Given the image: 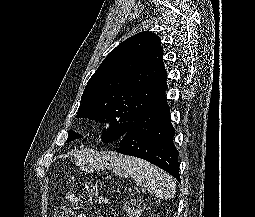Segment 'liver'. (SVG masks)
Wrapping results in <instances>:
<instances>
[{
    "label": "liver",
    "mask_w": 255,
    "mask_h": 217,
    "mask_svg": "<svg viewBox=\"0 0 255 217\" xmlns=\"http://www.w3.org/2000/svg\"><path fill=\"white\" fill-rule=\"evenodd\" d=\"M87 155V157L88 158H90L91 157V152L90 151H84V152H81V156H86Z\"/></svg>",
    "instance_id": "liver-1"
}]
</instances>
